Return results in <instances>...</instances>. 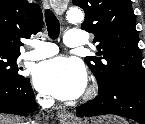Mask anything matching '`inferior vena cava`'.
<instances>
[{
	"instance_id": "obj_1",
	"label": "inferior vena cava",
	"mask_w": 145,
	"mask_h": 124,
	"mask_svg": "<svg viewBox=\"0 0 145 124\" xmlns=\"http://www.w3.org/2000/svg\"><path fill=\"white\" fill-rule=\"evenodd\" d=\"M53 102H54V101H53L52 99H50V100H40V101H39V105H40L43 109H45L46 107L52 105Z\"/></svg>"
}]
</instances>
